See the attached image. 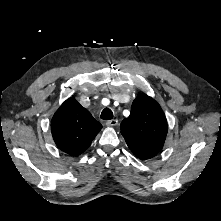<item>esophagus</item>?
<instances>
[{
	"instance_id": "esophagus-1",
	"label": "esophagus",
	"mask_w": 221,
	"mask_h": 221,
	"mask_svg": "<svg viewBox=\"0 0 221 221\" xmlns=\"http://www.w3.org/2000/svg\"><path fill=\"white\" fill-rule=\"evenodd\" d=\"M118 124V120L117 119H112L106 122L107 126H116Z\"/></svg>"
}]
</instances>
